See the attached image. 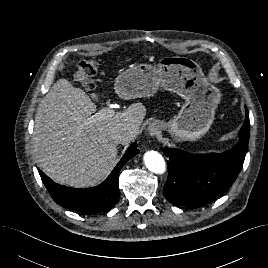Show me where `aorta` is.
Segmentation results:
<instances>
[{"label": "aorta", "instance_id": "1", "mask_svg": "<svg viewBox=\"0 0 268 268\" xmlns=\"http://www.w3.org/2000/svg\"><path fill=\"white\" fill-rule=\"evenodd\" d=\"M143 160L146 168L155 174H163L166 170L165 160L157 151H147L143 156Z\"/></svg>", "mask_w": 268, "mask_h": 268}]
</instances>
